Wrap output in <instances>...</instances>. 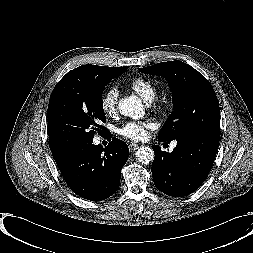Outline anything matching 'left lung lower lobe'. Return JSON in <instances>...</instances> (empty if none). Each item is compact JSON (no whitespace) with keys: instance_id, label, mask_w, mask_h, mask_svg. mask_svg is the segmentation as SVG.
Masks as SVG:
<instances>
[{"instance_id":"obj_1","label":"left lung lower lobe","mask_w":253,"mask_h":253,"mask_svg":"<svg viewBox=\"0 0 253 253\" xmlns=\"http://www.w3.org/2000/svg\"><path fill=\"white\" fill-rule=\"evenodd\" d=\"M219 139V133L193 131L178 137L171 153L153 145L155 158L151 171L156 188L173 197L193 193L211 170Z\"/></svg>"}]
</instances>
